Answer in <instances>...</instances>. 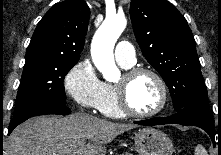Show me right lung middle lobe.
<instances>
[{
    "label": "right lung middle lobe",
    "mask_w": 221,
    "mask_h": 155,
    "mask_svg": "<svg viewBox=\"0 0 221 155\" xmlns=\"http://www.w3.org/2000/svg\"><path fill=\"white\" fill-rule=\"evenodd\" d=\"M77 61L26 59L18 89L14 117L44 103L66 104L63 80Z\"/></svg>",
    "instance_id": "obj_1"
}]
</instances>
